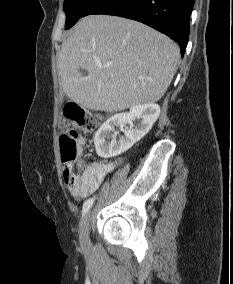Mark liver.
I'll list each match as a JSON object with an SVG mask.
<instances>
[{
    "instance_id": "liver-1",
    "label": "liver",
    "mask_w": 233,
    "mask_h": 284,
    "mask_svg": "<svg viewBox=\"0 0 233 284\" xmlns=\"http://www.w3.org/2000/svg\"><path fill=\"white\" fill-rule=\"evenodd\" d=\"M179 60V47L151 27L117 16L89 15L63 41L58 74L73 102L113 113L160 100Z\"/></svg>"
}]
</instances>
